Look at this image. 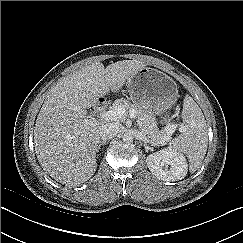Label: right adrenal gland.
Instances as JSON below:
<instances>
[{
  "instance_id": "2a0ac1e0",
  "label": "right adrenal gland",
  "mask_w": 243,
  "mask_h": 243,
  "mask_svg": "<svg viewBox=\"0 0 243 243\" xmlns=\"http://www.w3.org/2000/svg\"><path fill=\"white\" fill-rule=\"evenodd\" d=\"M106 142H107L106 140H103V141L99 142L98 147H97L98 151L100 150L102 145L104 146L106 144Z\"/></svg>"
}]
</instances>
